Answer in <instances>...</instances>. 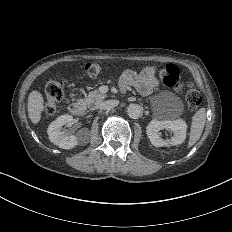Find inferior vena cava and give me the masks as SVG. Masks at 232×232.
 Wrapping results in <instances>:
<instances>
[{
    "instance_id": "1",
    "label": "inferior vena cava",
    "mask_w": 232,
    "mask_h": 232,
    "mask_svg": "<svg viewBox=\"0 0 232 232\" xmlns=\"http://www.w3.org/2000/svg\"><path fill=\"white\" fill-rule=\"evenodd\" d=\"M118 104H119L118 100H107L100 105V108L103 110H111L112 108L116 107Z\"/></svg>"
}]
</instances>
